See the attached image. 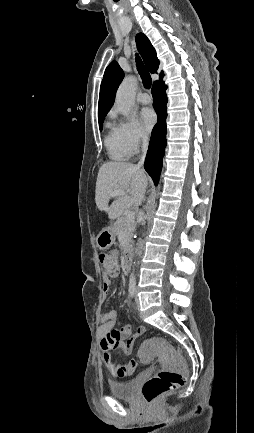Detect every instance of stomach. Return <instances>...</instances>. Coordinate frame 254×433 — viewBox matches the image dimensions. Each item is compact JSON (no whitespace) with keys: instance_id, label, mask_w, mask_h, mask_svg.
<instances>
[{"instance_id":"0dacf381","label":"stomach","mask_w":254,"mask_h":433,"mask_svg":"<svg viewBox=\"0 0 254 433\" xmlns=\"http://www.w3.org/2000/svg\"><path fill=\"white\" fill-rule=\"evenodd\" d=\"M115 241V231L114 228L108 227L104 228L97 236L96 243L98 248L107 249Z\"/></svg>"}]
</instances>
